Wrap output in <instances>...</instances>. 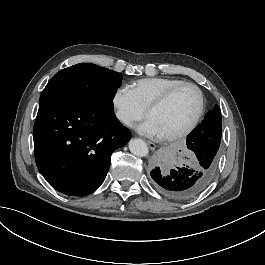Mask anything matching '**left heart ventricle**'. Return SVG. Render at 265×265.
I'll list each match as a JSON object with an SVG mask.
<instances>
[{"label": "left heart ventricle", "mask_w": 265, "mask_h": 265, "mask_svg": "<svg viewBox=\"0 0 265 265\" xmlns=\"http://www.w3.org/2000/svg\"><path fill=\"white\" fill-rule=\"evenodd\" d=\"M198 95L192 88L181 90L163 108L149 114L164 136L177 133L193 120L198 110Z\"/></svg>", "instance_id": "obj_1"}]
</instances>
